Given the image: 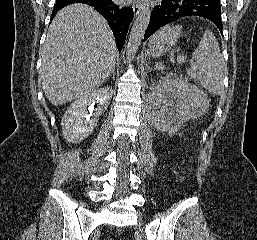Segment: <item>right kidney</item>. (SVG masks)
Wrapping results in <instances>:
<instances>
[{"label":"right kidney","instance_id":"1","mask_svg":"<svg viewBox=\"0 0 257 240\" xmlns=\"http://www.w3.org/2000/svg\"><path fill=\"white\" fill-rule=\"evenodd\" d=\"M112 95V88L103 87L80 97L69 106L61 121L63 136L67 142H81L91 134L98 117L107 109ZM95 103H98L95 113L87 115L88 110L94 109Z\"/></svg>","mask_w":257,"mask_h":240}]
</instances>
